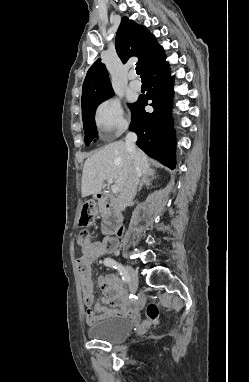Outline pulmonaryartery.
Returning a JSON list of instances; mask_svg holds the SVG:
<instances>
[{
	"instance_id": "e3ab8cb5",
	"label": "pulmonary artery",
	"mask_w": 249,
	"mask_h": 382,
	"mask_svg": "<svg viewBox=\"0 0 249 382\" xmlns=\"http://www.w3.org/2000/svg\"><path fill=\"white\" fill-rule=\"evenodd\" d=\"M129 80H130L129 86L131 89L136 90V91L141 89V87H142L141 81L136 78L135 72H130Z\"/></svg>"
}]
</instances>
